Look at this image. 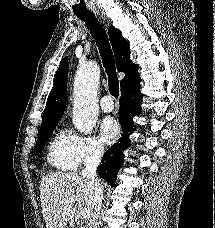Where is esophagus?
Returning <instances> with one entry per match:
<instances>
[{"label": "esophagus", "instance_id": "34e87169", "mask_svg": "<svg viewBox=\"0 0 215 228\" xmlns=\"http://www.w3.org/2000/svg\"><path fill=\"white\" fill-rule=\"evenodd\" d=\"M100 17L103 19V21L106 20L104 15H100Z\"/></svg>", "mask_w": 215, "mask_h": 228}]
</instances>
